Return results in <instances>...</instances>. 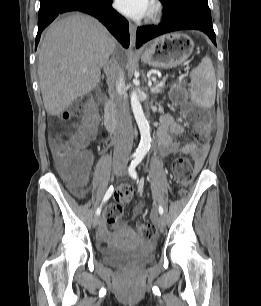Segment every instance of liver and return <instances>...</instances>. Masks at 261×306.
I'll use <instances>...</instances> for the list:
<instances>
[{"mask_svg":"<svg viewBox=\"0 0 261 306\" xmlns=\"http://www.w3.org/2000/svg\"><path fill=\"white\" fill-rule=\"evenodd\" d=\"M116 41L95 18L76 13L47 29L39 52L38 76L46 111L59 115L100 81Z\"/></svg>","mask_w":261,"mask_h":306,"instance_id":"liver-1","label":"liver"}]
</instances>
